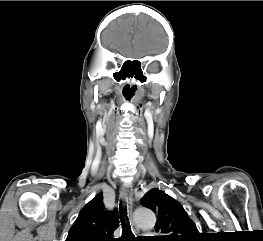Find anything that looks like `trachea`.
Segmentation results:
<instances>
[{
  "label": "trachea",
  "mask_w": 263,
  "mask_h": 241,
  "mask_svg": "<svg viewBox=\"0 0 263 241\" xmlns=\"http://www.w3.org/2000/svg\"><path fill=\"white\" fill-rule=\"evenodd\" d=\"M124 215L127 220V212L126 210H122V206L120 205V217H121V225H122V236L118 238L116 241H136V237L133 235L129 223L125 221Z\"/></svg>",
  "instance_id": "3493384b"
}]
</instances>
